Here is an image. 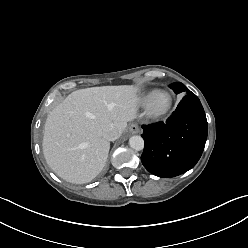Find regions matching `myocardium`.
Masks as SVG:
<instances>
[{"mask_svg": "<svg viewBox=\"0 0 248 248\" xmlns=\"http://www.w3.org/2000/svg\"><path fill=\"white\" fill-rule=\"evenodd\" d=\"M171 106V95L165 90H155L146 102L145 113L150 119H159L170 110Z\"/></svg>", "mask_w": 248, "mask_h": 248, "instance_id": "1", "label": "myocardium"}]
</instances>
